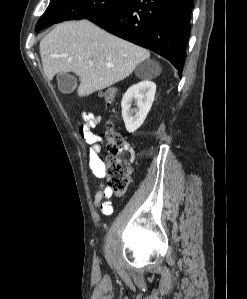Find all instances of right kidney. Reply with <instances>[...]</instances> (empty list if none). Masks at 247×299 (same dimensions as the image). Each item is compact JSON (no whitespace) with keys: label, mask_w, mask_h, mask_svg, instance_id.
I'll list each match as a JSON object with an SVG mask.
<instances>
[{"label":"right kidney","mask_w":247,"mask_h":299,"mask_svg":"<svg viewBox=\"0 0 247 299\" xmlns=\"http://www.w3.org/2000/svg\"><path fill=\"white\" fill-rule=\"evenodd\" d=\"M155 92L156 85L151 81H141L126 91L121 107L122 118L129 133H134L143 124L151 109ZM133 101L137 108H131Z\"/></svg>","instance_id":"right-kidney-1"}]
</instances>
